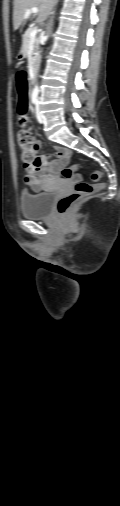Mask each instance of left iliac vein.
Masks as SVG:
<instances>
[{
  "mask_svg": "<svg viewBox=\"0 0 120 506\" xmlns=\"http://www.w3.org/2000/svg\"><path fill=\"white\" fill-rule=\"evenodd\" d=\"M36 117H37V120L40 122V123H44L45 119L43 117V115L41 114V111H40V103L39 101H37L36 103Z\"/></svg>",
  "mask_w": 120,
  "mask_h": 506,
  "instance_id": "obj_1",
  "label": "left iliac vein"
}]
</instances>
